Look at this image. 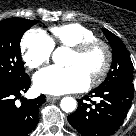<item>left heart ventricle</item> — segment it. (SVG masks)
<instances>
[{
    "label": "left heart ventricle",
    "instance_id": "1",
    "mask_svg": "<svg viewBox=\"0 0 136 136\" xmlns=\"http://www.w3.org/2000/svg\"><path fill=\"white\" fill-rule=\"evenodd\" d=\"M105 60V52L101 47H95L84 55H77L74 52L70 53L68 65L79 66L86 75L90 78L100 67Z\"/></svg>",
    "mask_w": 136,
    "mask_h": 136
}]
</instances>
